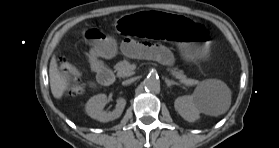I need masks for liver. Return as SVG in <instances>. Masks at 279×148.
<instances>
[{
	"mask_svg": "<svg viewBox=\"0 0 279 148\" xmlns=\"http://www.w3.org/2000/svg\"><path fill=\"white\" fill-rule=\"evenodd\" d=\"M49 77L51 92L56 99H60L69 88L70 83L68 79L59 71L55 56H53L50 61ZM90 85L94 86L93 83Z\"/></svg>",
	"mask_w": 279,
	"mask_h": 148,
	"instance_id": "1",
	"label": "liver"
}]
</instances>
